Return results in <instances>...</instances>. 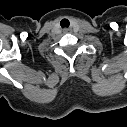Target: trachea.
<instances>
[{"label":"trachea","mask_w":127,"mask_h":127,"mask_svg":"<svg viewBox=\"0 0 127 127\" xmlns=\"http://www.w3.org/2000/svg\"><path fill=\"white\" fill-rule=\"evenodd\" d=\"M60 25H61V27L62 28H68L69 27V25H70V22H69V20L68 19H62L61 21H60Z\"/></svg>","instance_id":"3493384b"}]
</instances>
